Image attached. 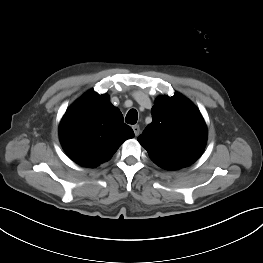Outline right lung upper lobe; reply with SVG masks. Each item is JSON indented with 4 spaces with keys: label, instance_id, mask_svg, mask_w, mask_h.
I'll return each mask as SVG.
<instances>
[{
    "label": "right lung upper lobe",
    "instance_id": "obj_1",
    "mask_svg": "<svg viewBox=\"0 0 263 263\" xmlns=\"http://www.w3.org/2000/svg\"><path fill=\"white\" fill-rule=\"evenodd\" d=\"M59 137L73 161L94 168L108 161L124 141L134 137V132L106 94L90 90L66 111Z\"/></svg>",
    "mask_w": 263,
    "mask_h": 263
}]
</instances>
